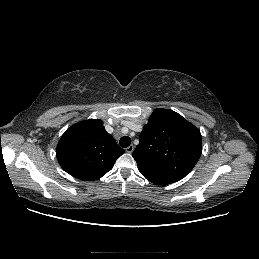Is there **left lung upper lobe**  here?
I'll use <instances>...</instances> for the list:
<instances>
[{
  "instance_id": "5c2ea615",
  "label": "left lung upper lobe",
  "mask_w": 259,
  "mask_h": 259,
  "mask_svg": "<svg viewBox=\"0 0 259 259\" xmlns=\"http://www.w3.org/2000/svg\"><path fill=\"white\" fill-rule=\"evenodd\" d=\"M201 153L200 131L180 114L158 108L144 126L133 158L141 173L174 183L193 169Z\"/></svg>"
}]
</instances>
